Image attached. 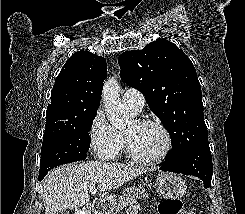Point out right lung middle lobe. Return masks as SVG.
<instances>
[{"label":"right lung middle lobe","instance_id":"right-lung-middle-lobe-1","mask_svg":"<svg viewBox=\"0 0 245 214\" xmlns=\"http://www.w3.org/2000/svg\"><path fill=\"white\" fill-rule=\"evenodd\" d=\"M97 111L85 114L76 125L43 136L39 176L62 164L85 160L89 131Z\"/></svg>","mask_w":245,"mask_h":214}]
</instances>
